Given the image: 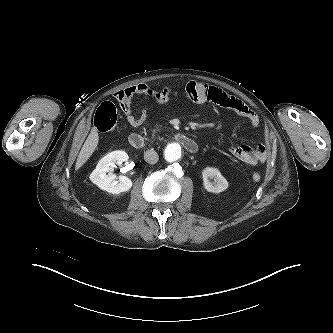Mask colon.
<instances>
[{
    "label": "colon",
    "instance_id": "colon-1",
    "mask_svg": "<svg viewBox=\"0 0 333 333\" xmlns=\"http://www.w3.org/2000/svg\"><path fill=\"white\" fill-rule=\"evenodd\" d=\"M117 124V112L116 107L111 102L102 103L95 112L94 115V126L100 132H109L115 128ZM254 182L261 180L259 173L252 175Z\"/></svg>",
    "mask_w": 333,
    "mask_h": 333
}]
</instances>
